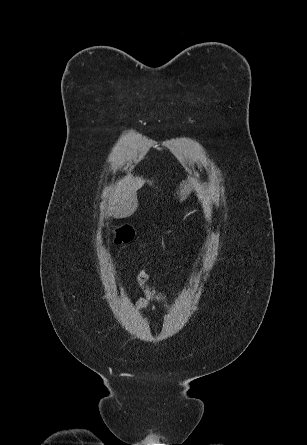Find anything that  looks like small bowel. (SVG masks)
I'll list each match as a JSON object with an SVG mask.
<instances>
[{
	"mask_svg": "<svg viewBox=\"0 0 307 445\" xmlns=\"http://www.w3.org/2000/svg\"><path fill=\"white\" fill-rule=\"evenodd\" d=\"M136 280L145 293V296L139 299L136 304L138 310H143L153 303L166 300V295L159 291L153 284L152 279L147 272V268L141 270L137 274Z\"/></svg>",
	"mask_w": 307,
	"mask_h": 445,
	"instance_id": "obj_1",
	"label": "small bowel"
}]
</instances>
